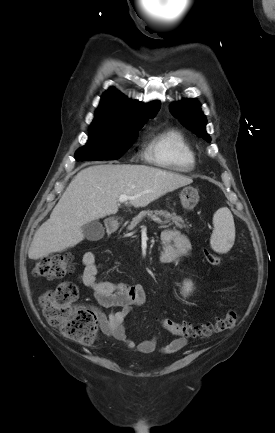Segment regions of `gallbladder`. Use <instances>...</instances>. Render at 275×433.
I'll return each mask as SVG.
<instances>
[{
	"mask_svg": "<svg viewBox=\"0 0 275 433\" xmlns=\"http://www.w3.org/2000/svg\"><path fill=\"white\" fill-rule=\"evenodd\" d=\"M85 238L89 241H98L104 236V227L98 221H92L82 227Z\"/></svg>",
	"mask_w": 275,
	"mask_h": 433,
	"instance_id": "gallbladder-1",
	"label": "gallbladder"
}]
</instances>
